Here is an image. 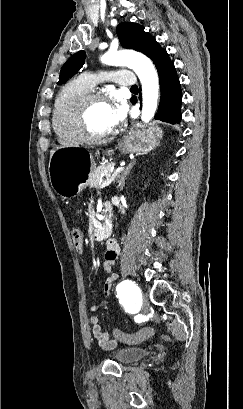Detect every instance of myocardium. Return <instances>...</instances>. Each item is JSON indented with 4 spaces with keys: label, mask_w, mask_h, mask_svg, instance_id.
I'll return each instance as SVG.
<instances>
[{
    "label": "myocardium",
    "mask_w": 243,
    "mask_h": 409,
    "mask_svg": "<svg viewBox=\"0 0 243 409\" xmlns=\"http://www.w3.org/2000/svg\"><path fill=\"white\" fill-rule=\"evenodd\" d=\"M96 101H109V96L101 91H88L80 95L73 103L71 117L73 125L84 142L97 143L105 141L111 135V131L101 135L92 134L87 126L86 114L89 106Z\"/></svg>",
    "instance_id": "f54148a6"
}]
</instances>
